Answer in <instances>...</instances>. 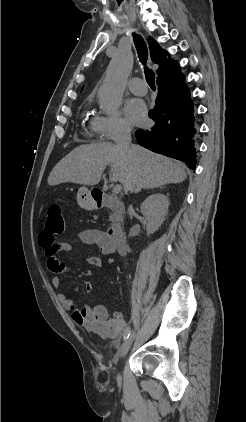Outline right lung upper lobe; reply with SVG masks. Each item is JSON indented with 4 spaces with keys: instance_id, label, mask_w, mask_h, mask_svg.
<instances>
[{
    "instance_id": "obj_1",
    "label": "right lung upper lobe",
    "mask_w": 246,
    "mask_h": 422,
    "mask_svg": "<svg viewBox=\"0 0 246 422\" xmlns=\"http://www.w3.org/2000/svg\"><path fill=\"white\" fill-rule=\"evenodd\" d=\"M148 44L152 61L159 65L157 82L169 81L182 74L179 64L168 57L169 53L163 50L152 37L148 38Z\"/></svg>"
}]
</instances>
